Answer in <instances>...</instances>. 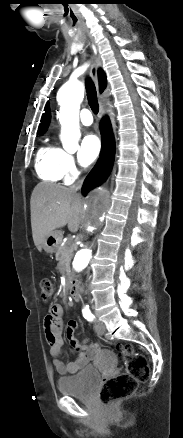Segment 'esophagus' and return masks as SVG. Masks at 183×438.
Listing matches in <instances>:
<instances>
[{
	"label": "esophagus",
	"instance_id": "esophagus-1",
	"mask_svg": "<svg viewBox=\"0 0 183 438\" xmlns=\"http://www.w3.org/2000/svg\"><path fill=\"white\" fill-rule=\"evenodd\" d=\"M101 65H102V61H101L100 56L98 54H95V56L93 57L91 66H90V75L95 83L97 90L99 89L98 69L101 67ZM103 115H104V107H103L102 101L99 99V115L98 116L101 119Z\"/></svg>",
	"mask_w": 183,
	"mask_h": 438
}]
</instances>
